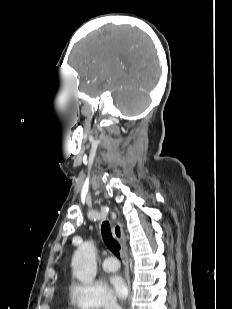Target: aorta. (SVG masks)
I'll use <instances>...</instances> for the list:
<instances>
[{
	"label": "aorta",
	"instance_id": "obj_1",
	"mask_svg": "<svg viewBox=\"0 0 232 309\" xmlns=\"http://www.w3.org/2000/svg\"><path fill=\"white\" fill-rule=\"evenodd\" d=\"M73 274L81 282H91L97 273L96 248L93 241L84 242L72 260Z\"/></svg>",
	"mask_w": 232,
	"mask_h": 309
}]
</instances>
